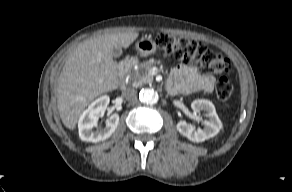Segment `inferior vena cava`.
Here are the masks:
<instances>
[{
	"label": "inferior vena cava",
	"mask_w": 292,
	"mask_h": 192,
	"mask_svg": "<svg viewBox=\"0 0 292 192\" xmlns=\"http://www.w3.org/2000/svg\"><path fill=\"white\" fill-rule=\"evenodd\" d=\"M124 97L128 101L134 102L137 100V91L134 88H127L124 91Z\"/></svg>",
	"instance_id": "602c4592"
}]
</instances>
